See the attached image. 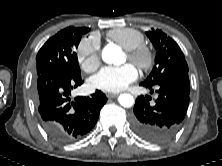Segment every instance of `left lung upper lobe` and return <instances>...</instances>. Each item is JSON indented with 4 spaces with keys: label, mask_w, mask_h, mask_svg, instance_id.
Returning <instances> with one entry per match:
<instances>
[{
    "label": "left lung upper lobe",
    "mask_w": 222,
    "mask_h": 166,
    "mask_svg": "<svg viewBox=\"0 0 222 166\" xmlns=\"http://www.w3.org/2000/svg\"><path fill=\"white\" fill-rule=\"evenodd\" d=\"M146 35L157 53L155 65L142 84L153 86L166 78L188 77V65L178 44L159 29H152Z\"/></svg>",
    "instance_id": "obj_1"
}]
</instances>
